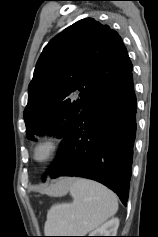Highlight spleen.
I'll return each instance as SVG.
<instances>
[{"label":"spleen","mask_w":158,"mask_h":237,"mask_svg":"<svg viewBox=\"0 0 158 237\" xmlns=\"http://www.w3.org/2000/svg\"><path fill=\"white\" fill-rule=\"evenodd\" d=\"M69 191L72 202L57 203L49 209L46 236H85L118 210L116 195L98 182L76 178Z\"/></svg>","instance_id":"spleen-1"}]
</instances>
